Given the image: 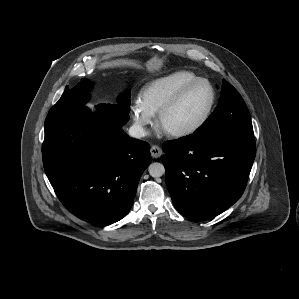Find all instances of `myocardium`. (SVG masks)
<instances>
[{
    "label": "myocardium",
    "mask_w": 299,
    "mask_h": 299,
    "mask_svg": "<svg viewBox=\"0 0 299 299\" xmlns=\"http://www.w3.org/2000/svg\"><path fill=\"white\" fill-rule=\"evenodd\" d=\"M199 84H205L208 86L210 90V102L208 104V107L206 111L204 112L203 116L197 121L194 125L187 127L185 129L181 130H174V131H169L166 130L163 126L164 119L166 115L179 103V101L183 98V96L193 87L199 85ZM216 103V91L213 87V85L206 79L204 78H198L194 81H191L181 87L175 94L174 96L161 108V110L158 113V120H157V125L161 131H163L165 134L175 137V138H183L187 136H191L198 132L201 128L204 127V125L207 123L209 120L212 111L214 109Z\"/></svg>",
    "instance_id": "1"
}]
</instances>
